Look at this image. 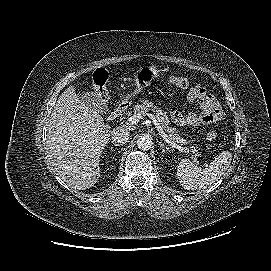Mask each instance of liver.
Instances as JSON below:
<instances>
[{
	"instance_id": "obj_1",
	"label": "liver",
	"mask_w": 271,
	"mask_h": 271,
	"mask_svg": "<svg viewBox=\"0 0 271 271\" xmlns=\"http://www.w3.org/2000/svg\"><path fill=\"white\" fill-rule=\"evenodd\" d=\"M111 135L102 116L86 106L69 86L59 96L47 133L48 159L54 171L78 190L94 186L99 161Z\"/></svg>"
}]
</instances>
